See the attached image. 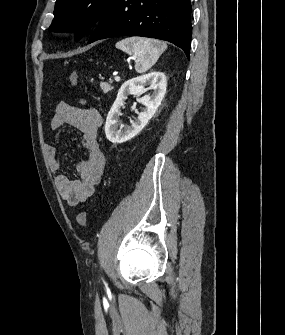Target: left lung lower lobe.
<instances>
[{"label":"left lung lower lobe","instance_id":"1","mask_svg":"<svg viewBox=\"0 0 285 335\" xmlns=\"http://www.w3.org/2000/svg\"><path fill=\"white\" fill-rule=\"evenodd\" d=\"M190 0H114L88 43L115 36H142L169 41L190 58Z\"/></svg>","mask_w":285,"mask_h":335}]
</instances>
